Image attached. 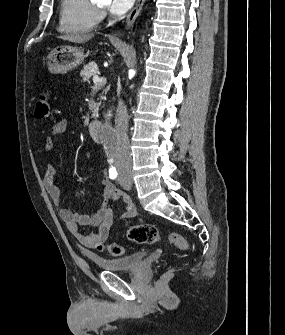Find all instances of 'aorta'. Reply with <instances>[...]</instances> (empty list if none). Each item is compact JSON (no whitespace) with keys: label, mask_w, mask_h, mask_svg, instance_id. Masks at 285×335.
I'll use <instances>...</instances> for the list:
<instances>
[{"label":"aorta","mask_w":285,"mask_h":335,"mask_svg":"<svg viewBox=\"0 0 285 335\" xmlns=\"http://www.w3.org/2000/svg\"><path fill=\"white\" fill-rule=\"evenodd\" d=\"M116 97H129V90H116ZM95 134H102V137H109L111 140H105V147H116L117 141L112 140L114 137H121V128L116 125H103V127H95Z\"/></svg>","instance_id":"1"}]
</instances>
